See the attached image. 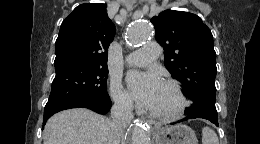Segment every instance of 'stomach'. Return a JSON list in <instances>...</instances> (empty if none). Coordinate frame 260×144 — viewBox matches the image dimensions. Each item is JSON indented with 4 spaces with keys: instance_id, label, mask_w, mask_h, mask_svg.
Here are the masks:
<instances>
[{
    "instance_id": "stomach-1",
    "label": "stomach",
    "mask_w": 260,
    "mask_h": 144,
    "mask_svg": "<svg viewBox=\"0 0 260 144\" xmlns=\"http://www.w3.org/2000/svg\"><path fill=\"white\" fill-rule=\"evenodd\" d=\"M153 137L156 144H197L195 132L184 124L157 129Z\"/></svg>"
}]
</instances>
